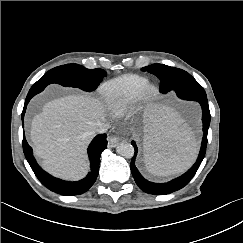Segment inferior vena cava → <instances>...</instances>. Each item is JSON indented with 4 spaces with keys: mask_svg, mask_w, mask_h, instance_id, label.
I'll return each mask as SVG.
<instances>
[{
    "mask_svg": "<svg viewBox=\"0 0 243 243\" xmlns=\"http://www.w3.org/2000/svg\"><path fill=\"white\" fill-rule=\"evenodd\" d=\"M109 128V124L101 122L95 129L94 133L102 134L106 133Z\"/></svg>",
    "mask_w": 243,
    "mask_h": 243,
    "instance_id": "1",
    "label": "inferior vena cava"
}]
</instances>
